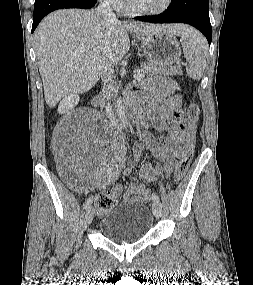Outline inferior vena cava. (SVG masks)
<instances>
[{
    "instance_id": "inferior-vena-cava-1",
    "label": "inferior vena cava",
    "mask_w": 253,
    "mask_h": 285,
    "mask_svg": "<svg viewBox=\"0 0 253 285\" xmlns=\"http://www.w3.org/2000/svg\"><path fill=\"white\" fill-rule=\"evenodd\" d=\"M97 13L102 15L104 18L108 19L111 22L118 21L116 18V15L111 10L108 0L101 1V3L99 4L97 8ZM112 74H113V65L111 63H108L107 65L103 67V70L101 73V77L103 79L104 84L109 82V80L112 77ZM106 113L108 115L112 114V108L110 104H107Z\"/></svg>"
}]
</instances>
